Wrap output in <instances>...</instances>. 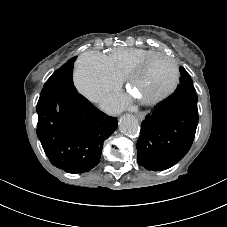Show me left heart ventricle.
Listing matches in <instances>:
<instances>
[{"label":"left heart ventricle","instance_id":"obj_1","mask_svg":"<svg viewBox=\"0 0 227 227\" xmlns=\"http://www.w3.org/2000/svg\"><path fill=\"white\" fill-rule=\"evenodd\" d=\"M173 78V65L165 57L153 59L136 77L132 90L138 98H147L165 90Z\"/></svg>","mask_w":227,"mask_h":227}]
</instances>
